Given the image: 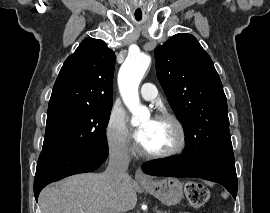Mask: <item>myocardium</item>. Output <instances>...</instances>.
Returning <instances> with one entry per match:
<instances>
[{
    "label": "myocardium",
    "mask_w": 270,
    "mask_h": 213,
    "mask_svg": "<svg viewBox=\"0 0 270 213\" xmlns=\"http://www.w3.org/2000/svg\"><path fill=\"white\" fill-rule=\"evenodd\" d=\"M155 119L171 122L178 132L179 141L174 147L163 152H149L146 151L143 147H141L140 152L142 156L148 159H165L182 153L187 145V134L182 122L174 114L169 112L159 113L158 115H156Z\"/></svg>",
    "instance_id": "obj_1"
}]
</instances>
